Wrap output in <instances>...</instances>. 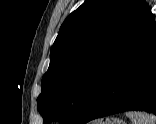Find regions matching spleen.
Masks as SVG:
<instances>
[{
	"label": "spleen",
	"instance_id": "1",
	"mask_svg": "<svg viewBox=\"0 0 156 124\" xmlns=\"http://www.w3.org/2000/svg\"><path fill=\"white\" fill-rule=\"evenodd\" d=\"M126 116L132 121V124H156V117L145 112H127Z\"/></svg>",
	"mask_w": 156,
	"mask_h": 124
}]
</instances>
